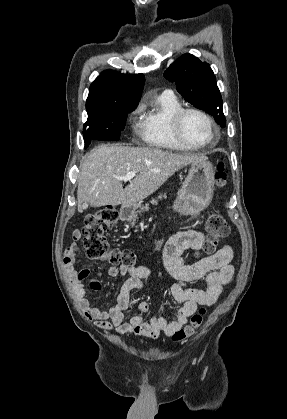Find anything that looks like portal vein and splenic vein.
<instances>
[{"instance_id":"obj_1","label":"portal vein and splenic vein","mask_w":287,"mask_h":419,"mask_svg":"<svg viewBox=\"0 0 287 419\" xmlns=\"http://www.w3.org/2000/svg\"><path fill=\"white\" fill-rule=\"evenodd\" d=\"M136 173V171H130L125 176L117 177V179L127 182L134 178L136 176Z\"/></svg>"}]
</instances>
